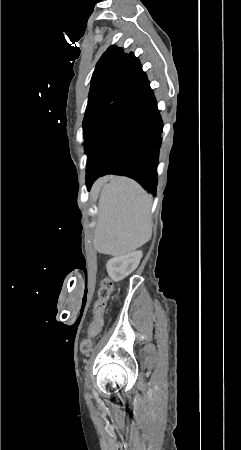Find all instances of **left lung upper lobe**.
<instances>
[{"mask_svg":"<svg viewBox=\"0 0 241 450\" xmlns=\"http://www.w3.org/2000/svg\"><path fill=\"white\" fill-rule=\"evenodd\" d=\"M132 53L110 46L98 61L91 79L88 104L83 120V134L86 137L96 117L119 94L125 79V72Z\"/></svg>","mask_w":241,"mask_h":450,"instance_id":"left-lung-upper-lobe-1","label":"left lung upper lobe"}]
</instances>
